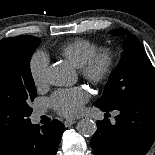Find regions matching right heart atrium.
<instances>
[{"instance_id":"right-heart-atrium-1","label":"right heart atrium","mask_w":155,"mask_h":155,"mask_svg":"<svg viewBox=\"0 0 155 155\" xmlns=\"http://www.w3.org/2000/svg\"><path fill=\"white\" fill-rule=\"evenodd\" d=\"M48 57L43 52L35 53L29 63V72L35 86L40 87L46 82Z\"/></svg>"}]
</instances>
